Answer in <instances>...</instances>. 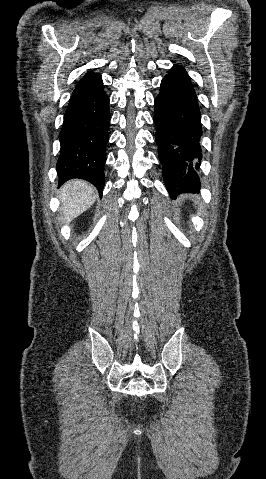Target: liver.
Segmentation results:
<instances>
[{
	"instance_id": "6515ba94",
	"label": "liver",
	"mask_w": 266,
	"mask_h": 479,
	"mask_svg": "<svg viewBox=\"0 0 266 479\" xmlns=\"http://www.w3.org/2000/svg\"><path fill=\"white\" fill-rule=\"evenodd\" d=\"M59 198L61 199V222L66 224L94 204L97 191L91 184L83 180H71L61 188Z\"/></svg>"
}]
</instances>
